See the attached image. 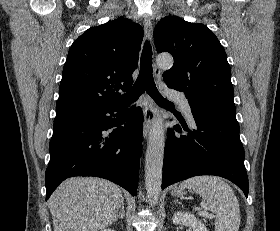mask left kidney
<instances>
[{"label": "left kidney", "instance_id": "left-kidney-1", "mask_svg": "<svg viewBox=\"0 0 280 231\" xmlns=\"http://www.w3.org/2000/svg\"><path fill=\"white\" fill-rule=\"evenodd\" d=\"M173 223H184V225H191L193 231H208L205 223H202L200 219H197L193 213L188 211H176L173 217Z\"/></svg>", "mask_w": 280, "mask_h": 231}]
</instances>
